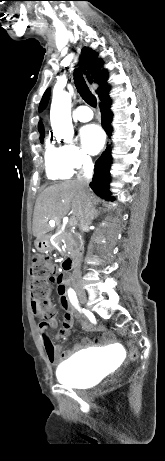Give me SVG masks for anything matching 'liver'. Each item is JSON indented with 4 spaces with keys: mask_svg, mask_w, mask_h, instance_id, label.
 Segmentation results:
<instances>
[{
    "mask_svg": "<svg viewBox=\"0 0 165 461\" xmlns=\"http://www.w3.org/2000/svg\"><path fill=\"white\" fill-rule=\"evenodd\" d=\"M91 194V193H90ZM85 195L78 180H68L45 188L38 196L33 215V235L45 236L53 220L56 224L69 212L80 220L84 211Z\"/></svg>",
    "mask_w": 165,
    "mask_h": 461,
    "instance_id": "obj_1",
    "label": "liver"
}]
</instances>
